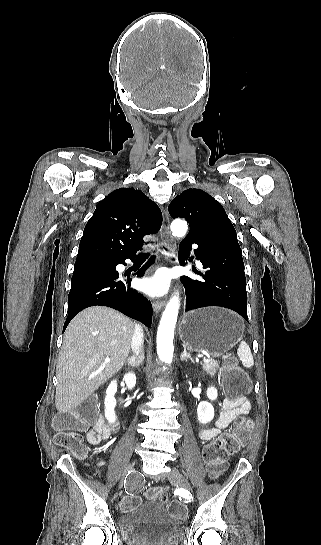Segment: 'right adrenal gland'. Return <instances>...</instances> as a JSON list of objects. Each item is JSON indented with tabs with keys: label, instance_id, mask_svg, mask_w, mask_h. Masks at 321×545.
Instances as JSON below:
<instances>
[{
	"label": "right adrenal gland",
	"instance_id": "right-adrenal-gland-1",
	"mask_svg": "<svg viewBox=\"0 0 321 545\" xmlns=\"http://www.w3.org/2000/svg\"><path fill=\"white\" fill-rule=\"evenodd\" d=\"M144 361V353H141V357H128L126 359L125 363L126 365H129V367H140Z\"/></svg>",
	"mask_w": 321,
	"mask_h": 545
}]
</instances>
